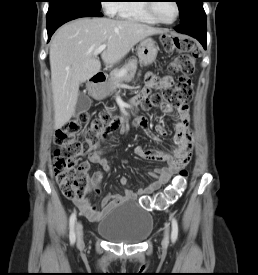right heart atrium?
Masks as SVG:
<instances>
[{
	"label": "right heart atrium",
	"mask_w": 258,
	"mask_h": 275,
	"mask_svg": "<svg viewBox=\"0 0 258 275\" xmlns=\"http://www.w3.org/2000/svg\"><path fill=\"white\" fill-rule=\"evenodd\" d=\"M115 4H116V3H108V4H107V11H108L109 13H113V12L115 11Z\"/></svg>",
	"instance_id": "right-heart-atrium-1"
}]
</instances>
